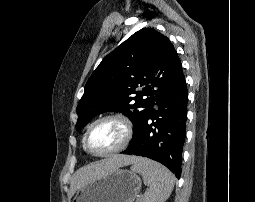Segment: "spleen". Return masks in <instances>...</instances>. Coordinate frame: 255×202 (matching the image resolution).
Returning <instances> with one entry per match:
<instances>
[{"label": "spleen", "mask_w": 255, "mask_h": 202, "mask_svg": "<svg viewBox=\"0 0 255 202\" xmlns=\"http://www.w3.org/2000/svg\"><path fill=\"white\" fill-rule=\"evenodd\" d=\"M131 170L139 173L149 189L141 197L140 202H165L170 196L174 183V175L163 165L146 158H138Z\"/></svg>", "instance_id": "1"}]
</instances>
